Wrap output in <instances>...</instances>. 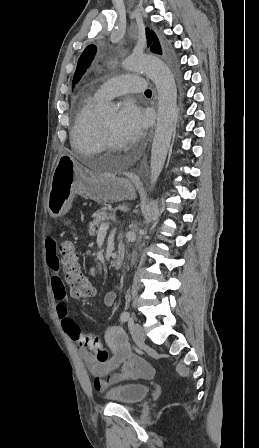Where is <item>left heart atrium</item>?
Wrapping results in <instances>:
<instances>
[{
	"label": "left heart atrium",
	"mask_w": 259,
	"mask_h": 448,
	"mask_svg": "<svg viewBox=\"0 0 259 448\" xmlns=\"http://www.w3.org/2000/svg\"><path fill=\"white\" fill-rule=\"evenodd\" d=\"M117 128L128 139L137 140L147 127V115L133 101H126L117 116Z\"/></svg>",
	"instance_id": "obj_1"
}]
</instances>
